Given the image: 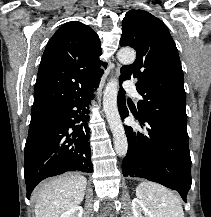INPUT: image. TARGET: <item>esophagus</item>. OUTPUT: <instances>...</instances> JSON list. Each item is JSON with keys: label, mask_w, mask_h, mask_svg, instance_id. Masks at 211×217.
Listing matches in <instances>:
<instances>
[{"label": "esophagus", "mask_w": 211, "mask_h": 217, "mask_svg": "<svg viewBox=\"0 0 211 217\" xmlns=\"http://www.w3.org/2000/svg\"><path fill=\"white\" fill-rule=\"evenodd\" d=\"M119 74V65L116 66V68L114 69V71L111 73L112 77H117Z\"/></svg>", "instance_id": "esophagus-1"}]
</instances>
